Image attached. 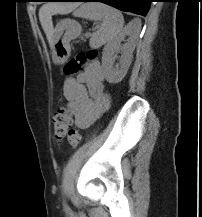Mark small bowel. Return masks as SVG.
I'll list each match as a JSON object with an SVG mask.
<instances>
[{"instance_id":"small-bowel-1","label":"small bowel","mask_w":202,"mask_h":217,"mask_svg":"<svg viewBox=\"0 0 202 217\" xmlns=\"http://www.w3.org/2000/svg\"><path fill=\"white\" fill-rule=\"evenodd\" d=\"M61 92L81 129L91 126L108 106L104 72L98 61L90 63L77 77L66 78Z\"/></svg>"}]
</instances>
